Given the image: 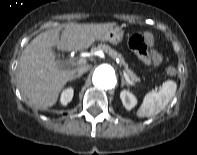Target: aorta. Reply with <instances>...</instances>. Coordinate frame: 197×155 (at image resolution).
Returning a JSON list of instances; mask_svg holds the SVG:
<instances>
[{"label":"aorta","mask_w":197,"mask_h":155,"mask_svg":"<svg viewBox=\"0 0 197 155\" xmlns=\"http://www.w3.org/2000/svg\"><path fill=\"white\" fill-rule=\"evenodd\" d=\"M93 83L100 89L109 90L116 86L117 78L114 68L109 64L99 65L93 73Z\"/></svg>","instance_id":"1"}]
</instances>
